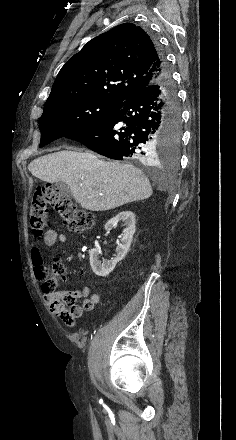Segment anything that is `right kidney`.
<instances>
[{"label": "right kidney", "mask_w": 236, "mask_h": 440, "mask_svg": "<svg viewBox=\"0 0 236 440\" xmlns=\"http://www.w3.org/2000/svg\"><path fill=\"white\" fill-rule=\"evenodd\" d=\"M119 222H123V226H125V229L122 233L121 242L116 248L115 258L111 260L103 259V261H101L99 259L100 255L102 254L100 249L94 248L91 249L89 252L90 266L97 276L105 277L109 275V273L114 270L116 264L126 256L127 252L130 249L133 235L136 230L135 214L132 211H122L106 223L105 229L109 231L114 228Z\"/></svg>", "instance_id": "ca27d5eb"}]
</instances>
